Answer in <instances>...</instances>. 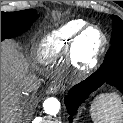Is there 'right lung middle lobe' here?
Instances as JSON below:
<instances>
[{
    "label": "right lung middle lobe",
    "mask_w": 123,
    "mask_h": 123,
    "mask_svg": "<svg viewBox=\"0 0 123 123\" xmlns=\"http://www.w3.org/2000/svg\"><path fill=\"white\" fill-rule=\"evenodd\" d=\"M38 17L34 9L1 12V41L26 32Z\"/></svg>",
    "instance_id": "1"
}]
</instances>
